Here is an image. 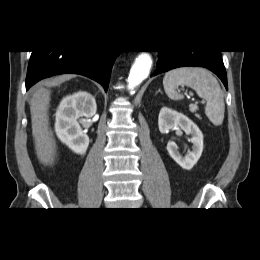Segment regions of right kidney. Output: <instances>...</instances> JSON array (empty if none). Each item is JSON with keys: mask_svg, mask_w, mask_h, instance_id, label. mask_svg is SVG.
Segmentation results:
<instances>
[{"mask_svg": "<svg viewBox=\"0 0 260 260\" xmlns=\"http://www.w3.org/2000/svg\"><path fill=\"white\" fill-rule=\"evenodd\" d=\"M96 110V101L87 92H77L60 102L56 112L55 132L60 141L76 154H85L89 145V137L77 119L90 118L95 115Z\"/></svg>", "mask_w": 260, "mask_h": 260, "instance_id": "right-kidney-1", "label": "right kidney"}]
</instances>
